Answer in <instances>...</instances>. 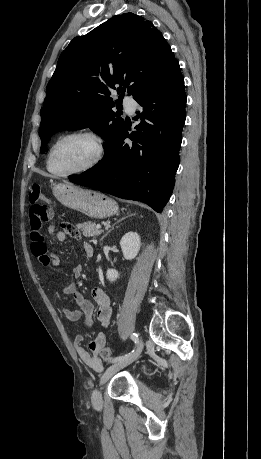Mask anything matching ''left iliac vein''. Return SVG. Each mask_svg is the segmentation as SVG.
<instances>
[{
    "label": "left iliac vein",
    "mask_w": 261,
    "mask_h": 459,
    "mask_svg": "<svg viewBox=\"0 0 261 459\" xmlns=\"http://www.w3.org/2000/svg\"><path fill=\"white\" fill-rule=\"evenodd\" d=\"M144 347V342L141 339L137 348L131 354L125 356L123 359L117 361L115 364L111 365L107 370L103 373L100 378L99 385H103L106 383L115 373L126 367L127 365L134 362L141 354ZM102 395L101 392L97 389L92 394V404L95 408H100L102 406Z\"/></svg>",
    "instance_id": "left-iliac-vein-1"
}]
</instances>
